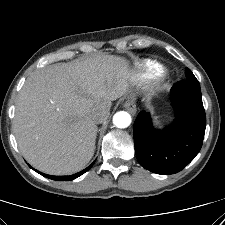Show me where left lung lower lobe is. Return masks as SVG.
<instances>
[{"label": "left lung lower lobe", "mask_w": 225, "mask_h": 225, "mask_svg": "<svg viewBox=\"0 0 225 225\" xmlns=\"http://www.w3.org/2000/svg\"><path fill=\"white\" fill-rule=\"evenodd\" d=\"M171 98L176 119L170 127L154 129L150 114L142 111L133 129L138 162L163 175L179 172L196 157L206 128L199 82L186 79L175 84Z\"/></svg>", "instance_id": "left-lung-lower-lobe-1"}]
</instances>
